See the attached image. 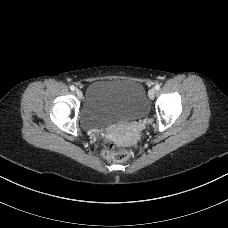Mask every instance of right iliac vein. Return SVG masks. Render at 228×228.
I'll use <instances>...</instances> for the list:
<instances>
[{
  "label": "right iliac vein",
  "mask_w": 228,
  "mask_h": 228,
  "mask_svg": "<svg viewBox=\"0 0 228 228\" xmlns=\"http://www.w3.org/2000/svg\"><path fill=\"white\" fill-rule=\"evenodd\" d=\"M76 94L79 98L82 97V91L80 89H76Z\"/></svg>",
  "instance_id": "right-iliac-vein-1"
}]
</instances>
